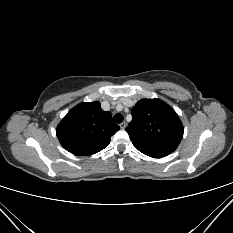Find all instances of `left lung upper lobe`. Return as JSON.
<instances>
[{"label":"left lung upper lobe","instance_id":"left-lung-upper-lobe-1","mask_svg":"<svg viewBox=\"0 0 233 233\" xmlns=\"http://www.w3.org/2000/svg\"><path fill=\"white\" fill-rule=\"evenodd\" d=\"M126 131L140 152L162 158L173 152L183 137V125L176 112L159 99H142L132 111Z\"/></svg>","mask_w":233,"mask_h":233}]
</instances>
